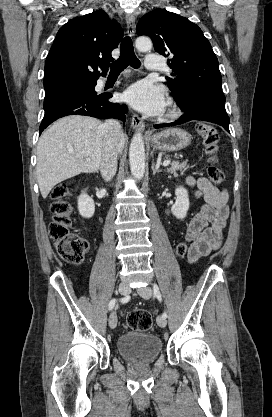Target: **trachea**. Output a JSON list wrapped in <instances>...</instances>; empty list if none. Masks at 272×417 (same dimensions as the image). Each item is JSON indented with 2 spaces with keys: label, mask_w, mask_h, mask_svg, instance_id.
I'll return each instance as SVG.
<instances>
[{
  "label": "trachea",
  "mask_w": 272,
  "mask_h": 417,
  "mask_svg": "<svg viewBox=\"0 0 272 417\" xmlns=\"http://www.w3.org/2000/svg\"><path fill=\"white\" fill-rule=\"evenodd\" d=\"M128 65L139 68L141 63L134 53L132 40L125 37L120 45L119 58L111 64L110 75H119Z\"/></svg>",
  "instance_id": "3493384b"
}]
</instances>
